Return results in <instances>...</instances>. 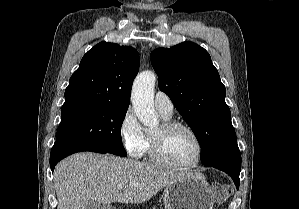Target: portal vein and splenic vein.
<instances>
[{
    "instance_id": "portal-vein-and-splenic-vein-1",
    "label": "portal vein and splenic vein",
    "mask_w": 299,
    "mask_h": 209,
    "mask_svg": "<svg viewBox=\"0 0 299 209\" xmlns=\"http://www.w3.org/2000/svg\"><path fill=\"white\" fill-rule=\"evenodd\" d=\"M118 188H119L120 190H123V189H124V185H119Z\"/></svg>"
}]
</instances>
